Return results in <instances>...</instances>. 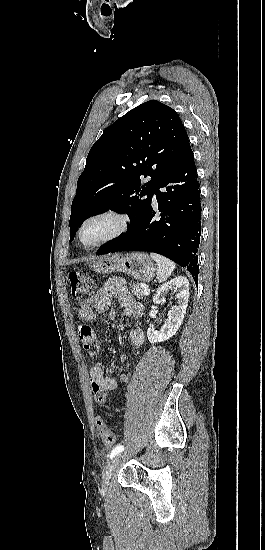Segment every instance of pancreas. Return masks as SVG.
I'll return each mask as SVG.
<instances>
[{"instance_id":"cf45deb5","label":"pancreas","mask_w":265,"mask_h":550,"mask_svg":"<svg viewBox=\"0 0 265 550\" xmlns=\"http://www.w3.org/2000/svg\"><path fill=\"white\" fill-rule=\"evenodd\" d=\"M130 288H131V293L134 296H136L138 299H143L145 297L144 288L140 284L138 283L130 284Z\"/></svg>"}]
</instances>
